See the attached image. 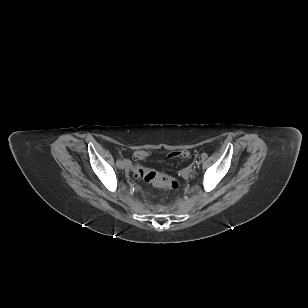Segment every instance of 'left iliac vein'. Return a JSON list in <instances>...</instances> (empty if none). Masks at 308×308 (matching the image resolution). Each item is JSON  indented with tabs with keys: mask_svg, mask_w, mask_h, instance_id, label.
<instances>
[{
	"mask_svg": "<svg viewBox=\"0 0 308 308\" xmlns=\"http://www.w3.org/2000/svg\"><path fill=\"white\" fill-rule=\"evenodd\" d=\"M196 163L199 165V164L202 163V160L200 159V160H198Z\"/></svg>",
	"mask_w": 308,
	"mask_h": 308,
	"instance_id": "obj_1",
	"label": "left iliac vein"
}]
</instances>
